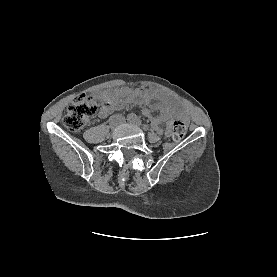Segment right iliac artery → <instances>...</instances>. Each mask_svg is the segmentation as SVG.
<instances>
[{
    "label": "right iliac artery",
    "mask_w": 277,
    "mask_h": 277,
    "mask_svg": "<svg viewBox=\"0 0 277 277\" xmlns=\"http://www.w3.org/2000/svg\"><path fill=\"white\" fill-rule=\"evenodd\" d=\"M130 120H132V121H133V120H134V118H133V117H131V118H130Z\"/></svg>",
    "instance_id": "obj_1"
}]
</instances>
